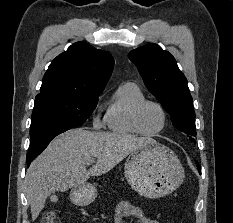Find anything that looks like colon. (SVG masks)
<instances>
[{"instance_id":"1","label":"colon","mask_w":233,"mask_h":223,"mask_svg":"<svg viewBox=\"0 0 233 223\" xmlns=\"http://www.w3.org/2000/svg\"><path fill=\"white\" fill-rule=\"evenodd\" d=\"M43 223H60V220L55 211L49 210L43 214Z\"/></svg>"}]
</instances>
